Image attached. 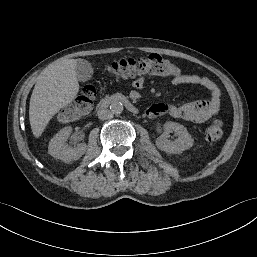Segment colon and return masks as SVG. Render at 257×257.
Segmentation results:
<instances>
[{
    "label": "colon",
    "mask_w": 257,
    "mask_h": 257,
    "mask_svg": "<svg viewBox=\"0 0 257 257\" xmlns=\"http://www.w3.org/2000/svg\"><path fill=\"white\" fill-rule=\"evenodd\" d=\"M142 68L147 76H171L178 72V67L160 55L151 54L143 57H129L113 61L108 65V72L117 77L122 69ZM95 98V89L91 85L83 87L74 102L65 106L59 117L65 121H72L86 114ZM223 135V122L220 119L209 121L205 129V136L209 141H216Z\"/></svg>",
    "instance_id": "1"
}]
</instances>
